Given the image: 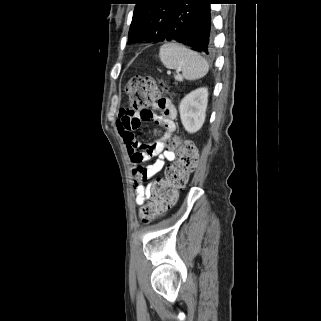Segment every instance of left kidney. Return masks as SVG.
<instances>
[{"instance_id":"1","label":"left kidney","mask_w":321,"mask_h":321,"mask_svg":"<svg viewBox=\"0 0 321 321\" xmlns=\"http://www.w3.org/2000/svg\"><path fill=\"white\" fill-rule=\"evenodd\" d=\"M207 103V88L196 89L182 99L179 106L180 118L188 133H196L203 126Z\"/></svg>"}]
</instances>
